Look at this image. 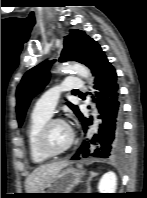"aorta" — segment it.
Here are the masks:
<instances>
[{"mask_svg": "<svg viewBox=\"0 0 147 198\" xmlns=\"http://www.w3.org/2000/svg\"><path fill=\"white\" fill-rule=\"evenodd\" d=\"M58 70L61 72L73 71L85 79H88L91 76L89 69L80 63L64 64Z\"/></svg>", "mask_w": 147, "mask_h": 198, "instance_id": "762f6f07", "label": "aorta"}]
</instances>
